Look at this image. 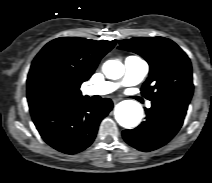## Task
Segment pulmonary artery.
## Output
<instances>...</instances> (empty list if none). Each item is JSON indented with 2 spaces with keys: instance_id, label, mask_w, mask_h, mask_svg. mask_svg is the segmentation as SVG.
<instances>
[{
  "instance_id": "1",
  "label": "pulmonary artery",
  "mask_w": 212,
  "mask_h": 183,
  "mask_svg": "<svg viewBox=\"0 0 212 183\" xmlns=\"http://www.w3.org/2000/svg\"><path fill=\"white\" fill-rule=\"evenodd\" d=\"M149 66L146 61L137 57L130 56L126 58L124 63V75L119 82H103L87 88L89 95H105L109 94L121 86H135L139 84L148 74ZM150 106V103H147Z\"/></svg>"
}]
</instances>
